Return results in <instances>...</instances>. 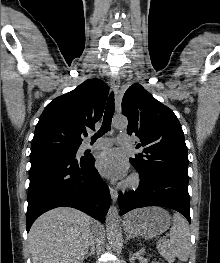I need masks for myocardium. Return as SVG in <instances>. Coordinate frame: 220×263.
Returning a JSON list of instances; mask_svg holds the SVG:
<instances>
[{
  "label": "myocardium",
  "instance_id": "1",
  "mask_svg": "<svg viewBox=\"0 0 220 263\" xmlns=\"http://www.w3.org/2000/svg\"><path fill=\"white\" fill-rule=\"evenodd\" d=\"M140 178L137 174L131 175L125 182L127 188H136L139 185Z\"/></svg>",
  "mask_w": 220,
  "mask_h": 263
}]
</instances>
